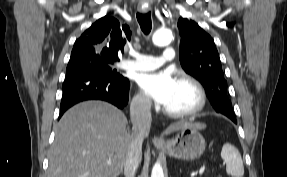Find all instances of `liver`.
Returning a JSON list of instances; mask_svg holds the SVG:
<instances>
[{
    "instance_id": "1",
    "label": "liver",
    "mask_w": 287,
    "mask_h": 177,
    "mask_svg": "<svg viewBox=\"0 0 287 177\" xmlns=\"http://www.w3.org/2000/svg\"><path fill=\"white\" fill-rule=\"evenodd\" d=\"M188 126L206 128L201 123L177 122L167 128L166 134ZM131 142L122 111L102 101L77 104L55 128L47 177H118Z\"/></svg>"
}]
</instances>
